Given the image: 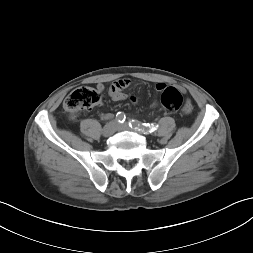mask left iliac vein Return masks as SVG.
<instances>
[{
	"label": "left iliac vein",
	"instance_id": "obj_1",
	"mask_svg": "<svg viewBox=\"0 0 253 253\" xmlns=\"http://www.w3.org/2000/svg\"><path fill=\"white\" fill-rule=\"evenodd\" d=\"M119 129H120V130H133V131H135V132H137V133L145 134V133H144L142 130H140V129L130 128L129 125H128L127 123L121 124V125L119 126Z\"/></svg>",
	"mask_w": 253,
	"mask_h": 253
}]
</instances>
